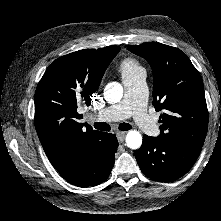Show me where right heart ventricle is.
I'll use <instances>...</instances> for the list:
<instances>
[{
    "mask_svg": "<svg viewBox=\"0 0 221 221\" xmlns=\"http://www.w3.org/2000/svg\"><path fill=\"white\" fill-rule=\"evenodd\" d=\"M119 71L122 79H128L145 70L137 59L127 57L120 62Z\"/></svg>",
    "mask_w": 221,
    "mask_h": 221,
    "instance_id": "e07e8e85",
    "label": "right heart ventricle"
}]
</instances>
